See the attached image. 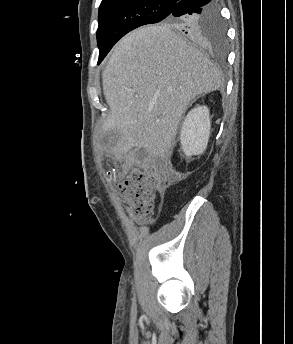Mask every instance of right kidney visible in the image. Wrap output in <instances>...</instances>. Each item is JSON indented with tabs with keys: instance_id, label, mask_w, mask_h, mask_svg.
Wrapping results in <instances>:
<instances>
[{
	"instance_id": "right-kidney-1",
	"label": "right kidney",
	"mask_w": 293,
	"mask_h": 344,
	"mask_svg": "<svg viewBox=\"0 0 293 344\" xmlns=\"http://www.w3.org/2000/svg\"><path fill=\"white\" fill-rule=\"evenodd\" d=\"M211 122L207 106H197L188 112L182 124L180 142L188 157L202 154L210 137Z\"/></svg>"
}]
</instances>
